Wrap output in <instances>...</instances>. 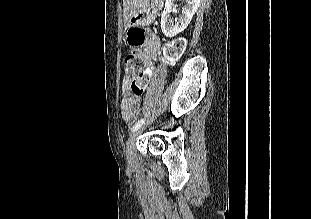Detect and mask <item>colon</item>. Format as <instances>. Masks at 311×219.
<instances>
[{"label": "colon", "mask_w": 311, "mask_h": 219, "mask_svg": "<svg viewBox=\"0 0 311 219\" xmlns=\"http://www.w3.org/2000/svg\"><path fill=\"white\" fill-rule=\"evenodd\" d=\"M144 40V31L142 29L133 28L132 44H140ZM185 48V41L183 39H176L167 44L164 48V56L167 60H175L179 58ZM124 69L127 74L136 75V78L131 84L133 93L141 94L148 83V76L142 72L143 61L137 53L128 55L124 60Z\"/></svg>", "instance_id": "colon-1"}]
</instances>
